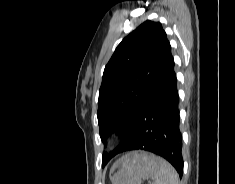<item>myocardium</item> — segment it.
I'll return each instance as SVG.
<instances>
[{
	"label": "myocardium",
	"mask_w": 235,
	"mask_h": 184,
	"mask_svg": "<svg viewBox=\"0 0 235 184\" xmlns=\"http://www.w3.org/2000/svg\"><path fill=\"white\" fill-rule=\"evenodd\" d=\"M119 140H120V133L115 131L109 135L106 143L109 147H115L118 144Z\"/></svg>",
	"instance_id": "1"
}]
</instances>
